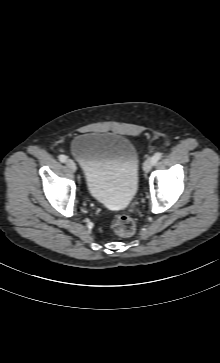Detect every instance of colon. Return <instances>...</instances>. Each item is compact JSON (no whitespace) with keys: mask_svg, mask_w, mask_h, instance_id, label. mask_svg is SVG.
I'll return each mask as SVG.
<instances>
[{"mask_svg":"<svg viewBox=\"0 0 220 363\" xmlns=\"http://www.w3.org/2000/svg\"><path fill=\"white\" fill-rule=\"evenodd\" d=\"M112 227L121 237H129L133 235L136 230V224L134 220L127 215L117 216L112 221Z\"/></svg>","mask_w":220,"mask_h":363,"instance_id":"colon-1","label":"colon"}]
</instances>
